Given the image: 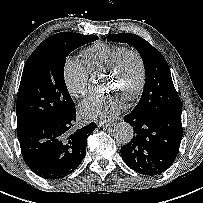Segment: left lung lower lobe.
<instances>
[{"mask_svg": "<svg viewBox=\"0 0 203 203\" xmlns=\"http://www.w3.org/2000/svg\"><path fill=\"white\" fill-rule=\"evenodd\" d=\"M124 121L134 130L132 140L121 147L124 162L147 176L166 171L173 164L182 140L181 113L148 116L131 112Z\"/></svg>", "mask_w": 203, "mask_h": 203, "instance_id": "0a47b994", "label": "left lung lower lobe"}]
</instances>
